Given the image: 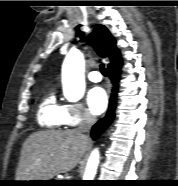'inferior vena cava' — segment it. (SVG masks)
I'll return each instance as SVG.
<instances>
[{
  "mask_svg": "<svg viewBox=\"0 0 178 186\" xmlns=\"http://www.w3.org/2000/svg\"><path fill=\"white\" fill-rule=\"evenodd\" d=\"M95 122H96V117L93 116L90 112L86 111L83 116L82 122L80 123V125L76 130L82 134L87 133L94 125Z\"/></svg>",
  "mask_w": 178,
  "mask_h": 186,
  "instance_id": "inferior-vena-cava-1",
  "label": "inferior vena cava"
}]
</instances>
